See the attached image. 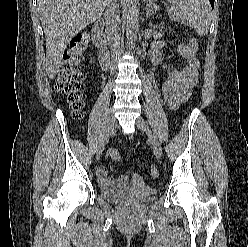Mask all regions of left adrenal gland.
I'll use <instances>...</instances> for the list:
<instances>
[{
	"label": "left adrenal gland",
	"instance_id": "1",
	"mask_svg": "<svg viewBox=\"0 0 248 247\" xmlns=\"http://www.w3.org/2000/svg\"><path fill=\"white\" fill-rule=\"evenodd\" d=\"M145 10H146V16H145L146 19L148 17H150L151 15H153L154 13H156V10H154V9L148 7V6L145 8Z\"/></svg>",
	"mask_w": 248,
	"mask_h": 247
}]
</instances>
